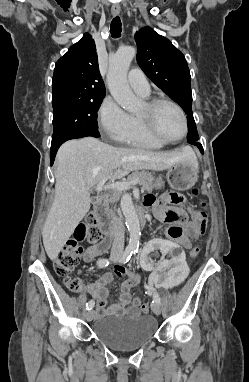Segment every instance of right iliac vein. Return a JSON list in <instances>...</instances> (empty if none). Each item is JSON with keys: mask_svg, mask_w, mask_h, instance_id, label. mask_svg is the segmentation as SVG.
Returning <instances> with one entry per match:
<instances>
[{"mask_svg": "<svg viewBox=\"0 0 249 382\" xmlns=\"http://www.w3.org/2000/svg\"><path fill=\"white\" fill-rule=\"evenodd\" d=\"M112 259L113 260H117L118 257L114 256ZM94 316H95V311L93 309H90V310L87 311V313H86L87 321H91L94 318Z\"/></svg>", "mask_w": 249, "mask_h": 382, "instance_id": "right-iliac-vein-1", "label": "right iliac vein"}]
</instances>
